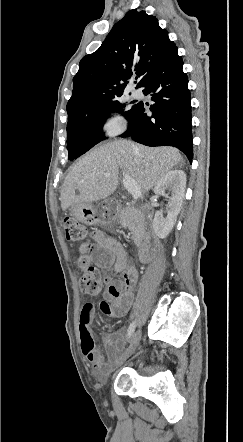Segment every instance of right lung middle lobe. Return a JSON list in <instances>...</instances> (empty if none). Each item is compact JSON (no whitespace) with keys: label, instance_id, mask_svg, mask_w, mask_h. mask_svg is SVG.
Returning <instances> with one entry per match:
<instances>
[{"label":"right lung middle lobe","instance_id":"1","mask_svg":"<svg viewBox=\"0 0 243 442\" xmlns=\"http://www.w3.org/2000/svg\"><path fill=\"white\" fill-rule=\"evenodd\" d=\"M115 98L77 116L68 119L67 124V149L68 159L74 160L91 149L94 145L106 139L102 132L104 122L111 113L120 112L129 120L135 110L134 105L126 110L119 97ZM134 103V101L132 102Z\"/></svg>","mask_w":243,"mask_h":442}]
</instances>
